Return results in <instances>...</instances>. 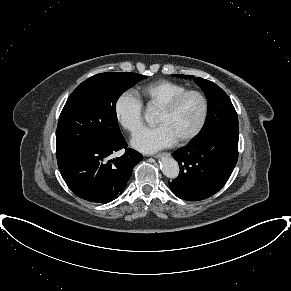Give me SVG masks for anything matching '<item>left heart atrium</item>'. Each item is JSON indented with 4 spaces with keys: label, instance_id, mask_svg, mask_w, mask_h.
Returning <instances> with one entry per match:
<instances>
[{
    "label": "left heart atrium",
    "instance_id": "1",
    "mask_svg": "<svg viewBox=\"0 0 291 291\" xmlns=\"http://www.w3.org/2000/svg\"><path fill=\"white\" fill-rule=\"evenodd\" d=\"M175 142L176 139L164 125L144 129L132 140L134 147L146 153L170 147Z\"/></svg>",
    "mask_w": 291,
    "mask_h": 291
}]
</instances>
